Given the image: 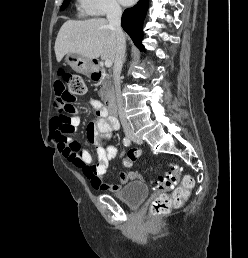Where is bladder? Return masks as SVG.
Returning <instances> with one entry per match:
<instances>
[{"label":"bladder","instance_id":"31cf9c89","mask_svg":"<svg viewBox=\"0 0 248 258\" xmlns=\"http://www.w3.org/2000/svg\"><path fill=\"white\" fill-rule=\"evenodd\" d=\"M114 195L128 207L136 208L149 195V189L143 182H132Z\"/></svg>","mask_w":248,"mask_h":258}]
</instances>
